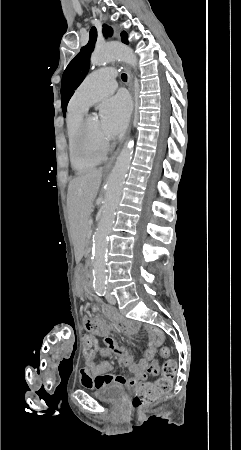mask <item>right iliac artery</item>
I'll return each mask as SVG.
<instances>
[{"label": "right iliac artery", "mask_w": 241, "mask_h": 450, "mask_svg": "<svg viewBox=\"0 0 241 450\" xmlns=\"http://www.w3.org/2000/svg\"><path fill=\"white\" fill-rule=\"evenodd\" d=\"M106 290H107V287H106V286H100V287H97V288H96V293H97L99 296H104L105 293H106Z\"/></svg>", "instance_id": "82829eb1"}]
</instances>
